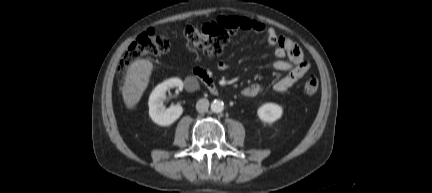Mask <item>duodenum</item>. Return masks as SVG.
I'll list each match as a JSON object with an SVG mask.
<instances>
[{"label":"duodenum","mask_w":432,"mask_h":193,"mask_svg":"<svg viewBox=\"0 0 432 193\" xmlns=\"http://www.w3.org/2000/svg\"><path fill=\"white\" fill-rule=\"evenodd\" d=\"M192 76L196 77L197 79H199L201 82H203L206 87L208 88V90L213 94V95H218L219 94V88L216 84V82L213 80V78L206 72V70L204 69H194L192 71Z\"/></svg>","instance_id":"410a0bca"}]
</instances>
